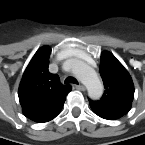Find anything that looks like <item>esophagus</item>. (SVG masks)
Here are the masks:
<instances>
[{
  "label": "esophagus",
  "mask_w": 145,
  "mask_h": 145,
  "mask_svg": "<svg viewBox=\"0 0 145 145\" xmlns=\"http://www.w3.org/2000/svg\"><path fill=\"white\" fill-rule=\"evenodd\" d=\"M75 88L80 90V91H84L85 90V87L82 84L75 85Z\"/></svg>",
  "instance_id": "1"
}]
</instances>
